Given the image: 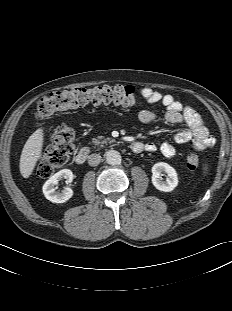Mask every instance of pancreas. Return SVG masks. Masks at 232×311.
I'll use <instances>...</instances> for the list:
<instances>
[{"label": "pancreas", "mask_w": 232, "mask_h": 311, "mask_svg": "<svg viewBox=\"0 0 232 311\" xmlns=\"http://www.w3.org/2000/svg\"><path fill=\"white\" fill-rule=\"evenodd\" d=\"M104 137L102 136H99L98 139L94 138L92 140V142L95 144V145H100V146H103V144L109 142V143H112V142H115V140H111L110 138H107V139H103ZM103 139V140H101Z\"/></svg>", "instance_id": "pancreas-1"}]
</instances>
